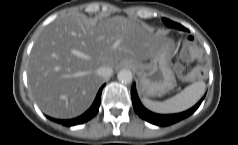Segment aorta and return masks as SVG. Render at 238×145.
<instances>
[{"mask_svg":"<svg viewBox=\"0 0 238 145\" xmlns=\"http://www.w3.org/2000/svg\"><path fill=\"white\" fill-rule=\"evenodd\" d=\"M117 78L122 83H130L133 79L132 72L128 69H122L118 72Z\"/></svg>","mask_w":238,"mask_h":145,"instance_id":"762f6f07","label":"aorta"}]
</instances>
